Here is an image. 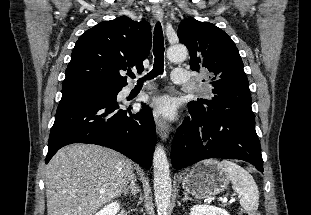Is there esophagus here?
Masks as SVG:
<instances>
[{
	"label": "esophagus",
	"mask_w": 311,
	"mask_h": 215,
	"mask_svg": "<svg viewBox=\"0 0 311 215\" xmlns=\"http://www.w3.org/2000/svg\"><path fill=\"white\" fill-rule=\"evenodd\" d=\"M152 13L157 20L161 21L163 19L164 13L160 6L158 5L153 6ZM154 119H155L157 133L163 140H166L169 135L170 126L168 125V123H166V121H164L162 118H160L157 115H155Z\"/></svg>",
	"instance_id": "esophagus-1"
}]
</instances>
